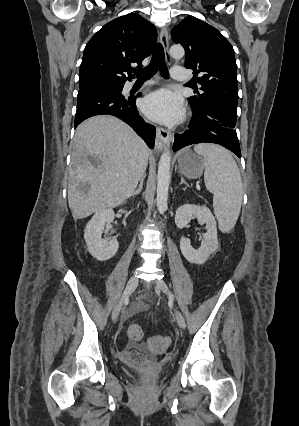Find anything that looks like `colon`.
I'll return each mask as SVG.
<instances>
[{
    "label": "colon",
    "instance_id": "5ec220e1",
    "mask_svg": "<svg viewBox=\"0 0 299 426\" xmlns=\"http://www.w3.org/2000/svg\"><path fill=\"white\" fill-rule=\"evenodd\" d=\"M127 334L130 340L139 342L143 338V331L140 325L131 324L128 327ZM171 344L168 336H154L146 340L145 346L155 353H164Z\"/></svg>",
    "mask_w": 299,
    "mask_h": 426
}]
</instances>
